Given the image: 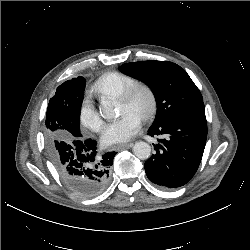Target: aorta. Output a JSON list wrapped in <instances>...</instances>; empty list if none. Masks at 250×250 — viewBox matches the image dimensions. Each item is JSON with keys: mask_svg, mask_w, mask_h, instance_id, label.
<instances>
[{"mask_svg": "<svg viewBox=\"0 0 250 250\" xmlns=\"http://www.w3.org/2000/svg\"><path fill=\"white\" fill-rule=\"evenodd\" d=\"M116 113L115 105L111 100H103L100 106V114L103 118L113 117ZM133 154L139 159H148L151 155V147L148 143L140 141L133 146Z\"/></svg>", "mask_w": 250, "mask_h": 250, "instance_id": "obj_1", "label": "aorta"}]
</instances>
